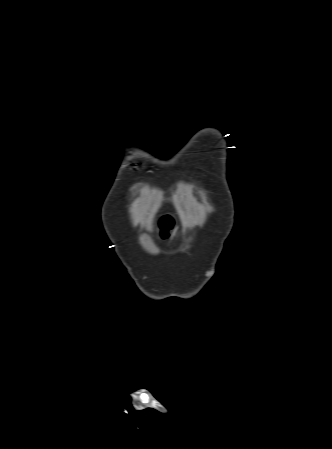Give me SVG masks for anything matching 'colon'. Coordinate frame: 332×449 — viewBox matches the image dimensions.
<instances>
[{
  "label": "colon",
  "instance_id": "obj_1",
  "mask_svg": "<svg viewBox=\"0 0 332 449\" xmlns=\"http://www.w3.org/2000/svg\"><path fill=\"white\" fill-rule=\"evenodd\" d=\"M165 221L168 223L169 222V218L165 217ZM163 235H166V233H163Z\"/></svg>",
  "mask_w": 332,
  "mask_h": 449
}]
</instances>
